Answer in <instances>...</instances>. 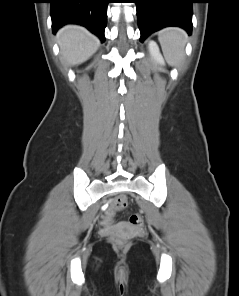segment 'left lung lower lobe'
I'll list each match as a JSON object with an SVG mask.
<instances>
[{
  "instance_id": "obj_1",
  "label": "left lung lower lobe",
  "mask_w": 239,
  "mask_h": 296,
  "mask_svg": "<svg viewBox=\"0 0 239 296\" xmlns=\"http://www.w3.org/2000/svg\"><path fill=\"white\" fill-rule=\"evenodd\" d=\"M140 41L168 26L192 32V3L195 0H135Z\"/></svg>"
}]
</instances>
